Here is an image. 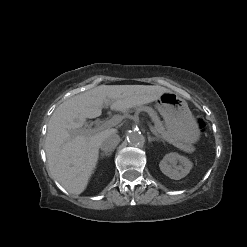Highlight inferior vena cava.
Instances as JSON below:
<instances>
[{
    "label": "inferior vena cava",
    "instance_id": "1",
    "mask_svg": "<svg viewBox=\"0 0 247 247\" xmlns=\"http://www.w3.org/2000/svg\"><path fill=\"white\" fill-rule=\"evenodd\" d=\"M120 142V137L117 134L106 135L101 143L100 148L104 152H112Z\"/></svg>",
    "mask_w": 247,
    "mask_h": 247
}]
</instances>
